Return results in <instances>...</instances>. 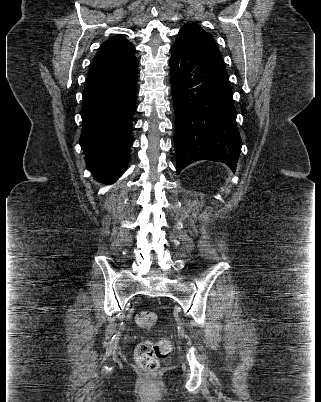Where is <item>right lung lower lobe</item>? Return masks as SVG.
Here are the masks:
<instances>
[{"label": "right lung lower lobe", "instance_id": "1", "mask_svg": "<svg viewBox=\"0 0 321 402\" xmlns=\"http://www.w3.org/2000/svg\"><path fill=\"white\" fill-rule=\"evenodd\" d=\"M137 65L91 69L82 100L80 145L94 179L114 183L129 163Z\"/></svg>", "mask_w": 321, "mask_h": 402}]
</instances>
